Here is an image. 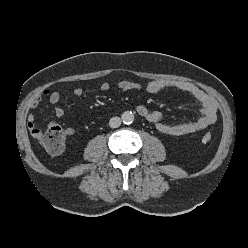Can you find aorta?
Returning <instances> with one entry per match:
<instances>
[{
	"label": "aorta",
	"instance_id": "obj_1",
	"mask_svg": "<svg viewBox=\"0 0 248 248\" xmlns=\"http://www.w3.org/2000/svg\"><path fill=\"white\" fill-rule=\"evenodd\" d=\"M121 119L125 124H131L134 121V114L131 111L123 112Z\"/></svg>",
	"mask_w": 248,
	"mask_h": 248
}]
</instances>
